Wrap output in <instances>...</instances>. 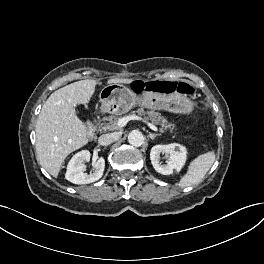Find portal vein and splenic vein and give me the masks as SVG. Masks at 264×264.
<instances>
[{"label":"portal vein and splenic vein","mask_w":264,"mask_h":264,"mask_svg":"<svg viewBox=\"0 0 264 264\" xmlns=\"http://www.w3.org/2000/svg\"><path fill=\"white\" fill-rule=\"evenodd\" d=\"M142 118L136 116V115H131V116H127V117H123V118H120L117 122V126L119 128H122L124 126H126V124L128 123V121L130 120H141ZM143 122H145L152 130L154 131H158V128L156 126H154L152 123L142 119Z\"/></svg>","instance_id":"1"}]
</instances>
